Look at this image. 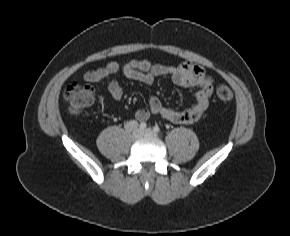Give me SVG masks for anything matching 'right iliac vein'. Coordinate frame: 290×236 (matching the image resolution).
Segmentation results:
<instances>
[{
    "label": "right iliac vein",
    "instance_id": "63e3f726",
    "mask_svg": "<svg viewBox=\"0 0 290 236\" xmlns=\"http://www.w3.org/2000/svg\"><path fill=\"white\" fill-rule=\"evenodd\" d=\"M142 135H143V132L138 128L134 129L132 132V136L134 139H138V138L142 137Z\"/></svg>",
    "mask_w": 290,
    "mask_h": 236
}]
</instances>
